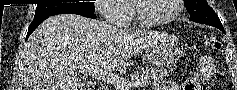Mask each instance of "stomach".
Segmentation results:
<instances>
[{
	"label": "stomach",
	"instance_id": "0dacf381",
	"mask_svg": "<svg viewBox=\"0 0 237 90\" xmlns=\"http://www.w3.org/2000/svg\"><path fill=\"white\" fill-rule=\"evenodd\" d=\"M181 50L178 46L156 41L147 48V55L153 64L161 67H170L174 65L181 56Z\"/></svg>",
	"mask_w": 237,
	"mask_h": 90
}]
</instances>
